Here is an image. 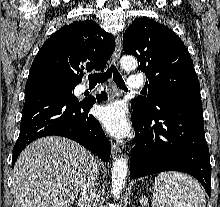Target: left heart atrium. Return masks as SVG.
<instances>
[{
	"mask_svg": "<svg viewBox=\"0 0 220 207\" xmlns=\"http://www.w3.org/2000/svg\"><path fill=\"white\" fill-rule=\"evenodd\" d=\"M97 118L103 128L116 138H123L130 131L125 109L120 103L100 107L97 111Z\"/></svg>",
	"mask_w": 220,
	"mask_h": 207,
	"instance_id": "left-heart-atrium-1",
	"label": "left heart atrium"
}]
</instances>
